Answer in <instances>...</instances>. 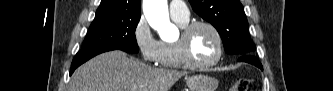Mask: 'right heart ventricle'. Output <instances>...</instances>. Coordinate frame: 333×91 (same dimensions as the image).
Listing matches in <instances>:
<instances>
[{"instance_id": "e07e8e85", "label": "right heart ventricle", "mask_w": 333, "mask_h": 91, "mask_svg": "<svg viewBox=\"0 0 333 91\" xmlns=\"http://www.w3.org/2000/svg\"><path fill=\"white\" fill-rule=\"evenodd\" d=\"M173 20L182 28L189 23V18L179 19L173 17ZM158 64L165 68H185L179 58V50L176 41H160V57Z\"/></svg>"}]
</instances>
